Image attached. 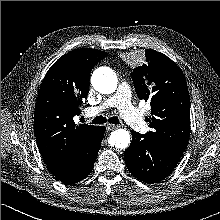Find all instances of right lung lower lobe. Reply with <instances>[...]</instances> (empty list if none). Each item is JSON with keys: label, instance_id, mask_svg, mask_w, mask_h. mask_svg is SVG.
I'll return each instance as SVG.
<instances>
[{"label": "right lung lower lobe", "instance_id": "1", "mask_svg": "<svg viewBox=\"0 0 220 220\" xmlns=\"http://www.w3.org/2000/svg\"><path fill=\"white\" fill-rule=\"evenodd\" d=\"M104 126H98L94 135L78 152L68 168L54 176L65 184H74L86 178L92 171L97 158L101 141L104 137Z\"/></svg>", "mask_w": 220, "mask_h": 220}]
</instances>
